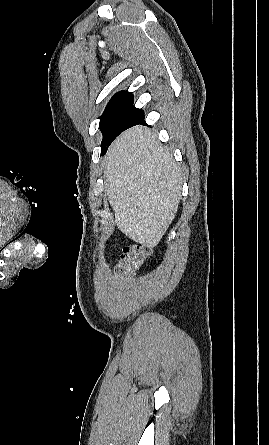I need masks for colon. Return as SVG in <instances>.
Listing matches in <instances>:
<instances>
[{
  "label": "colon",
  "mask_w": 269,
  "mask_h": 445,
  "mask_svg": "<svg viewBox=\"0 0 269 445\" xmlns=\"http://www.w3.org/2000/svg\"><path fill=\"white\" fill-rule=\"evenodd\" d=\"M149 256L150 250L143 245L125 247L118 265V273L123 277H130L135 269L142 265Z\"/></svg>",
  "instance_id": "1"
}]
</instances>
